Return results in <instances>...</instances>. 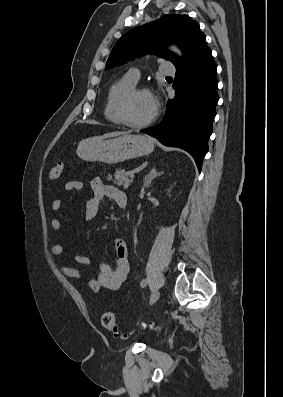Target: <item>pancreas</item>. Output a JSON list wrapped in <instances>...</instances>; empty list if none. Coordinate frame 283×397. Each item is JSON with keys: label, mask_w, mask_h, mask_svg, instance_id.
Returning <instances> with one entry per match:
<instances>
[{"label": "pancreas", "mask_w": 283, "mask_h": 397, "mask_svg": "<svg viewBox=\"0 0 283 397\" xmlns=\"http://www.w3.org/2000/svg\"><path fill=\"white\" fill-rule=\"evenodd\" d=\"M132 182L133 180L128 178V173L124 169H116L113 179L114 184L123 186L125 189H127Z\"/></svg>", "instance_id": "1"}]
</instances>
